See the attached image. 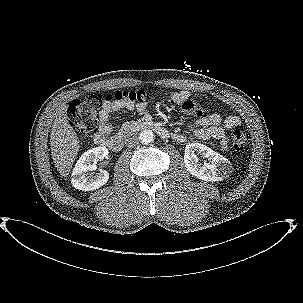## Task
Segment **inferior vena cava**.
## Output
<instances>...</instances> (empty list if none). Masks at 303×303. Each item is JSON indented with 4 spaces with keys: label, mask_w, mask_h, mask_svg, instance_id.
Here are the masks:
<instances>
[{
    "label": "inferior vena cava",
    "mask_w": 303,
    "mask_h": 303,
    "mask_svg": "<svg viewBox=\"0 0 303 303\" xmlns=\"http://www.w3.org/2000/svg\"><path fill=\"white\" fill-rule=\"evenodd\" d=\"M138 136L136 133L134 132H129L126 134L125 136V143L128 147H134L136 145H138Z\"/></svg>",
    "instance_id": "inferior-vena-cava-1"
}]
</instances>
